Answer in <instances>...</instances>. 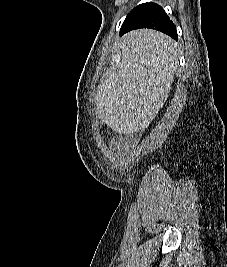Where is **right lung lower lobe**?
Wrapping results in <instances>:
<instances>
[{
    "label": "right lung lower lobe",
    "instance_id": "obj_1",
    "mask_svg": "<svg viewBox=\"0 0 227 267\" xmlns=\"http://www.w3.org/2000/svg\"><path fill=\"white\" fill-rule=\"evenodd\" d=\"M139 28L156 29L177 40L175 25L155 3L140 4L131 10L121 26L120 35Z\"/></svg>",
    "mask_w": 227,
    "mask_h": 267
}]
</instances>
